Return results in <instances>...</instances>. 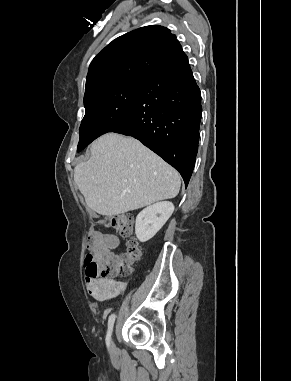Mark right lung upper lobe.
<instances>
[{
	"mask_svg": "<svg viewBox=\"0 0 291 381\" xmlns=\"http://www.w3.org/2000/svg\"><path fill=\"white\" fill-rule=\"evenodd\" d=\"M183 52L171 31L145 26L126 33L107 45L92 60L85 96L129 81H144L174 62Z\"/></svg>",
	"mask_w": 291,
	"mask_h": 381,
	"instance_id": "1",
	"label": "right lung upper lobe"
}]
</instances>
